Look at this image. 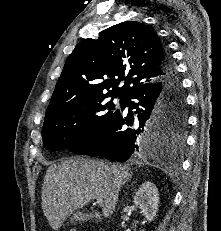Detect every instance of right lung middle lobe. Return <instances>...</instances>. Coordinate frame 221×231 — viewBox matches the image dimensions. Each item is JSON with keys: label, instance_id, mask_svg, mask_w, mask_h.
Listing matches in <instances>:
<instances>
[{"label": "right lung middle lobe", "instance_id": "right-lung-middle-lobe-1", "mask_svg": "<svg viewBox=\"0 0 221 231\" xmlns=\"http://www.w3.org/2000/svg\"><path fill=\"white\" fill-rule=\"evenodd\" d=\"M109 95L79 98L69 101L43 124V143L51 151L73 149L100 132L120 111ZM124 99L121 98L122 106ZM187 126L186 105L165 98L153 115L151 127L165 141L169 138L182 145Z\"/></svg>", "mask_w": 221, "mask_h": 231}]
</instances>
